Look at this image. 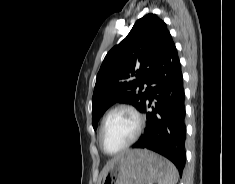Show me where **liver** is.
Masks as SVG:
<instances>
[{
    "label": "liver",
    "mask_w": 235,
    "mask_h": 184,
    "mask_svg": "<svg viewBox=\"0 0 235 184\" xmlns=\"http://www.w3.org/2000/svg\"><path fill=\"white\" fill-rule=\"evenodd\" d=\"M118 158H121V156H116V158H113V160H111V162H108V164H106L104 170H102V172H101V178H104L106 172H108V170L110 168V164H113V162H115V160H118Z\"/></svg>",
    "instance_id": "obj_1"
}]
</instances>
